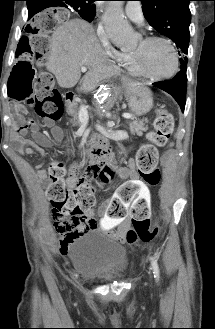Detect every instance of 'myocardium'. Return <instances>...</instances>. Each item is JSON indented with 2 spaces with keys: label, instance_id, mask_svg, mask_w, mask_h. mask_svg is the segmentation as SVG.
<instances>
[{
  "label": "myocardium",
  "instance_id": "f54148a6",
  "mask_svg": "<svg viewBox=\"0 0 215 329\" xmlns=\"http://www.w3.org/2000/svg\"><path fill=\"white\" fill-rule=\"evenodd\" d=\"M141 42H142V48L139 49L138 51L132 52V64H133V67H134L136 73L142 77H145L147 79L154 80V81H162V80H167V79L174 77L176 75V73L178 72L179 66H180L179 53H178L175 43L167 37L156 36V35L147 36V37L143 38L141 40ZM154 42H164V43L168 44L173 52L175 65H174L173 70L171 72H169L168 74L152 75V74L146 72L141 65V62L143 59V48Z\"/></svg>",
  "mask_w": 215,
  "mask_h": 329
}]
</instances>
